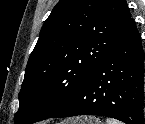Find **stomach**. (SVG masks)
I'll list each match as a JSON object with an SVG mask.
<instances>
[{
	"instance_id": "obj_1",
	"label": "stomach",
	"mask_w": 145,
	"mask_h": 124,
	"mask_svg": "<svg viewBox=\"0 0 145 124\" xmlns=\"http://www.w3.org/2000/svg\"><path fill=\"white\" fill-rule=\"evenodd\" d=\"M69 121L71 122V124H102L101 121L94 117H79Z\"/></svg>"
}]
</instances>
